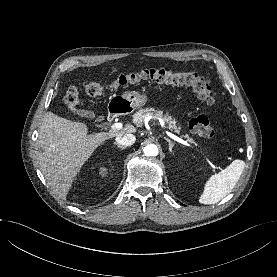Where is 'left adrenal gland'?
I'll return each mask as SVG.
<instances>
[{
	"mask_svg": "<svg viewBox=\"0 0 277 277\" xmlns=\"http://www.w3.org/2000/svg\"><path fill=\"white\" fill-rule=\"evenodd\" d=\"M165 140L168 142L169 144V151L173 154V143L170 139L165 137Z\"/></svg>",
	"mask_w": 277,
	"mask_h": 277,
	"instance_id": "a2214340",
	"label": "left adrenal gland"
}]
</instances>
